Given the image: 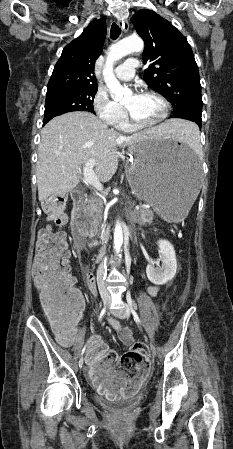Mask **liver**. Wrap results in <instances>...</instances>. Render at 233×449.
<instances>
[{"label":"liver","instance_id":"6515ba94","mask_svg":"<svg viewBox=\"0 0 233 449\" xmlns=\"http://www.w3.org/2000/svg\"><path fill=\"white\" fill-rule=\"evenodd\" d=\"M180 120L124 136L89 112H70L53 118L42 130L38 147L37 186L39 200L72 191L79 183L78 168L95 159V174L102 182L115 174L120 148L177 134Z\"/></svg>","mask_w":233,"mask_h":449}]
</instances>
